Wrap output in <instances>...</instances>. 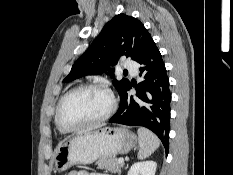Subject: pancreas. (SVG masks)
<instances>
[{
  "instance_id": "1",
  "label": "pancreas",
  "mask_w": 233,
  "mask_h": 175,
  "mask_svg": "<svg viewBox=\"0 0 233 175\" xmlns=\"http://www.w3.org/2000/svg\"><path fill=\"white\" fill-rule=\"evenodd\" d=\"M96 165H98V169H105L111 173H120L123 167V164L119 163L116 158H100Z\"/></svg>"
}]
</instances>
